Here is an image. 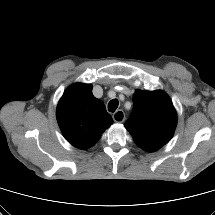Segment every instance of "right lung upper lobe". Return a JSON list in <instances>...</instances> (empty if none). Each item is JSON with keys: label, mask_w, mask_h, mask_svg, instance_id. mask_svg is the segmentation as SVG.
Returning a JSON list of instances; mask_svg holds the SVG:
<instances>
[{"label": "right lung upper lobe", "mask_w": 215, "mask_h": 215, "mask_svg": "<svg viewBox=\"0 0 215 215\" xmlns=\"http://www.w3.org/2000/svg\"><path fill=\"white\" fill-rule=\"evenodd\" d=\"M57 121L74 147H92L112 123L103 102L92 94V85L75 83L66 89L57 106Z\"/></svg>", "instance_id": "right-lung-upper-lobe-1"}]
</instances>
